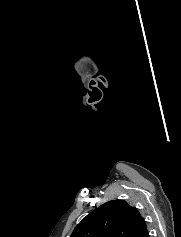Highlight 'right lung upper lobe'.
<instances>
[{
  "mask_svg": "<svg viewBox=\"0 0 181 237\" xmlns=\"http://www.w3.org/2000/svg\"><path fill=\"white\" fill-rule=\"evenodd\" d=\"M70 237H150L139 211L124 200H112L89 213Z\"/></svg>",
  "mask_w": 181,
  "mask_h": 237,
  "instance_id": "cb5924a9",
  "label": "right lung upper lobe"
}]
</instances>
